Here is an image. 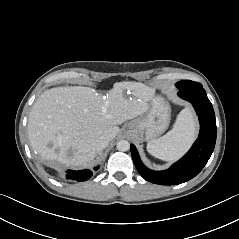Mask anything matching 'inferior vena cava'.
<instances>
[{
    "label": "inferior vena cava",
    "instance_id": "1",
    "mask_svg": "<svg viewBox=\"0 0 239 239\" xmlns=\"http://www.w3.org/2000/svg\"><path fill=\"white\" fill-rule=\"evenodd\" d=\"M109 144V140L106 139V138H103L99 141V144H98V149L99 150H102L103 148H105L107 145Z\"/></svg>",
    "mask_w": 239,
    "mask_h": 239
}]
</instances>
